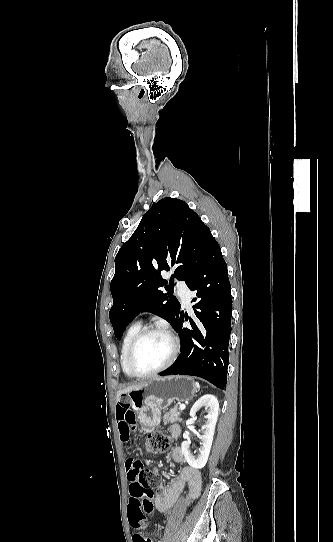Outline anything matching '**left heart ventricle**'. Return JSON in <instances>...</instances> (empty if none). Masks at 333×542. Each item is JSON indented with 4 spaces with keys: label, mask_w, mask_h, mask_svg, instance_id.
<instances>
[{
    "label": "left heart ventricle",
    "mask_w": 333,
    "mask_h": 542,
    "mask_svg": "<svg viewBox=\"0 0 333 542\" xmlns=\"http://www.w3.org/2000/svg\"><path fill=\"white\" fill-rule=\"evenodd\" d=\"M170 344L162 334L145 337L136 347L132 357V368L137 374H147L159 368L168 358Z\"/></svg>",
    "instance_id": "1"
}]
</instances>
